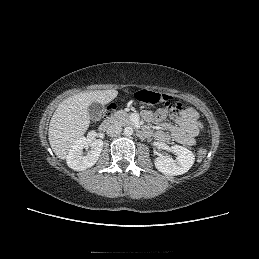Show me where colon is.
I'll use <instances>...</instances> for the list:
<instances>
[{
	"instance_id": "1",
	"label": "colon",
	"mask_w": 259,
	"mask_h": 259,
	"mask_svg": "<svg viewBox=\"0 0 259 259\" xmlns=\"http://www.w3.org/2000/svg\"><path fill=\"white\" fill-rule=\"evenodd\" d=\"M135 98L144 104L148 105H161L165 109L172 110L174 112L180 113L183 111V106L179 102H172V98L169 95L161 94L150 90H140L135 93ZM115 109L114 105H109L105 109V114L110 115ZM207 155V151L204 148H200L197 151V156L199 159H204Z\"/></svg>"
}]
</instances>
